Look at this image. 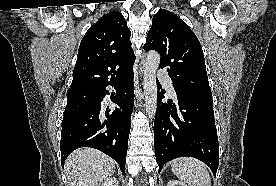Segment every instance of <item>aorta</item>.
<instances>
[{"label":"aorta","mask_w":276,"mask_h":186,"mask_svg":"<svg viewBox=\"0 0 276 186\" xmlns=\"http://www.w3.org/2000/svg\"><path fill=\"white\" fill-rule=\"evenodd\" d=\"M160 63V55L156 51H149L146 57L143 88L146 114L153 118L157 109L156 71Z\"/></svg>","instance_id":"aorta-1"}]
</instances>
